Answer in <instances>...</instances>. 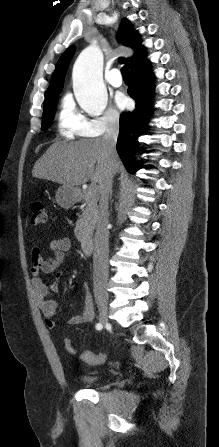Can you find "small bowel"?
I'll use <instances>...</instances> for the list:
<instances>
[{"label":"small bowel","instance_id":"small-bowel-1","mask_svg":"<svg viewBox=\"0 0 219 447\" xmlns=\"http://www.w3.org/2000/svg\"><path fill=\"white\" fill-rule=\"evenodd\" d=\"M70 248L69 239L60 238L52 241L50 244V249L53 252L52 256L44 257L39 247H36L33 252L31 267L33 295L49 329L57 327L55 317L58 312V304L54 295L59 291V282L65 274V270L59 269V267L64 257L70 256ZM49 274H54V279L51 282H46L44 276ZM83 289L85 291L83 310L80 314L68 320L69 325L90 323L94 320L95 308L88 291V285L84 284ZM81 358L84 360V353Z\"/></svg>","mask_w":219,"mask_h":447}]
</instances>
